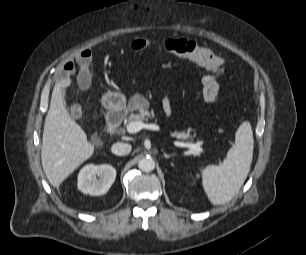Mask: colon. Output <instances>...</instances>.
Here are the masks:
<instances>
[{"label": "colon", "mask_w": 306, "mask_h": 255, "mask_svg": "<svg viewBox=\"0 0 306 255\" xmlns=\"http://www.w3.org/2000/svg\"><path fill=\"white\" fill-rule=\"evenodd\" d=\"M148 46L149 42L144 38H138L131 44L132 49L137 52L144 51ZM164 46L168 51L209 71L202 80L203 95L207 102L216 104L219 100L218 79L224 72V60L211 50L185 39H168Z\"/></svg>", "instance_id": "obj_1"}]
</instances>
